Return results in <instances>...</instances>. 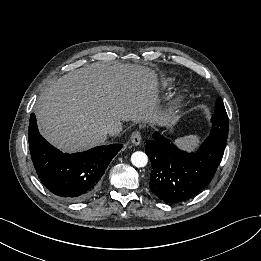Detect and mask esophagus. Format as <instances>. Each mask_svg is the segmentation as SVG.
<instances>
[{
  "mask_svg": "<svg viewBox=\"0 0 261 261\" xmlns=\"http://www.w3.org/2000/svg\"><path fill=\"white\" fill-rule=\"evenodd\" d=\"M130 141L133 145H139L142 141V137L139 131H134L130 137Z\"/></svg>",
  "mask_w": 261,
  "mask_h": 261,
  "instance_id": "34e87169",
  "label": "esophagus"
}]
</instances>
